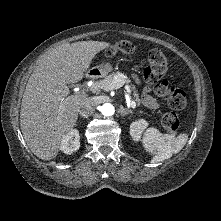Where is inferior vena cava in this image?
I'll use <instances>...</instances> for the list:
<instances>
[{
  "mask_svg": "<svg viewBox=\"0 0 221 221\" xmlns=\"http://www.w3.org/2000/svg\"><path fill=\"white\" fill-rule=\"evenodd\" d=\"M96 102L93 98H85L79 106V114L82 117H88L89 115L93 114L95 110Z\"/></svg>",
  "mask_w": 221,
  "mask_h": 221,
  "instance_id": "inferior-vena-cava-1",
  "label": "inferior vena cava"
}]
</instances>
